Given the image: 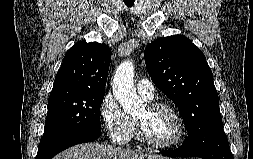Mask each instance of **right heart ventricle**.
<instances>
[{
  "label": "right heart ventricle",
  "mask_w": 253,
  "mask_h": 159,
  "mask_svg": "<svg viewBox=\"0 0 253 159\" xmlns=\"http://www.w3.org/2000/svg\"><path fill=\"white\" fill-rule=\"evenodd\" d=\"M131 120H132V132H131V137H133L134 134H135V125H134L133 119H131Z\"/></svg>",
  "instance_id": "1"
}]
</instances>
